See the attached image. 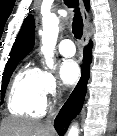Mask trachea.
Wrapping results in <instances>:
<instances>
[{"label": "trachea", "mask_w": 117, "mask_h": 136, "mask_svg": "<svg viewBox=\"0 0 117 136\" xmlns=\"http://www.w3.org/2000/svg\"><path fill=\"white\" fill-rule=\"evenodd\" d=\"M64 3L69 8H73L74 17L72 22V32L76 39H80L83 34V20L79 10L78 0H64Z\"/></svg>", "instance_id": "obj_1"}]
</instances>
